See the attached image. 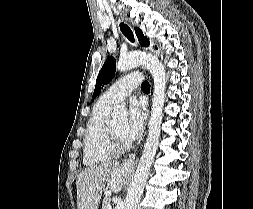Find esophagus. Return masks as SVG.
<instances>
[{"mask_svg":"<svg viewBox=\"0 0 253 209\" xmlns=\"http://www.w3.org/2000/svg\"><path fill=\"white\" fill-rule=\"evenodd\" d=\"M123 25H126L127 27H124ZM118 27L126 41H128L132 46H137V39L132 26L126 21H123L121 18H118ZM133 163L134 161L131 157L125 161V165H132Z\"/></svg>","mask_w":253,"mask_h":209,"instance_id":"1","label":"esophagus"}]
</instances>
